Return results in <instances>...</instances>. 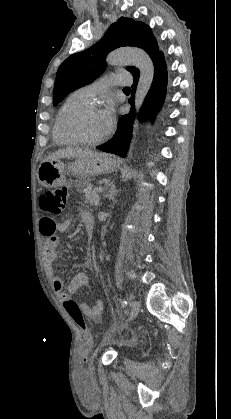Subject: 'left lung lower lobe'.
<instances>
[{
	"label": "left lung lower lobe",
	"mask_w": 231,
	"mask_h": 419,
	"mask_svg": "<svg viewBox=\"0 0 231 419\" xmlns=\"http://www.w3.org/2000/svg\"><path fill=\"white\" fill-rule=\"evenodd\" d=\"M154 79L152 82L151 89L143 104L140 117L143 119H154L157 110L163 103L166 85H167V69L164 59V55L160 52L154 59ZM134 82L132 85V97L129 99V103L132 105L131 110L128 114L123 115L119 118L118 129L114 137L107 143L98 146L97 148L125 157L129 142L132 135V124L135 117L134 114V94L139 79V73L133 75Z\"/></svg>",
	"instance_id": "1"
}]
</instances>
